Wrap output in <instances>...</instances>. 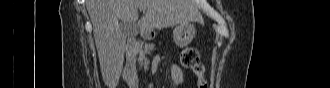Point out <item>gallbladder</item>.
I'll use <instances>...</instances> for the list:
<instances>
[{"label":"gallbladder","instance_id":"bac80fb5","mask_svg":"<svg viewBox=\"0 0 330 88\" xmlns=\"http://www.w3.org/2000/svg\"><path fill=\"white\" fill-rule=\"evenodd\" d=\"M120 25H121V29L123 30V32L127 37L134 36L137 32L136 26L134 24L121 22Z\"/></svg>","mask_w":330,"mask_h":88}]
</instances>
